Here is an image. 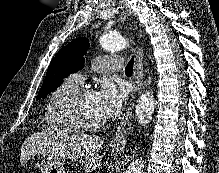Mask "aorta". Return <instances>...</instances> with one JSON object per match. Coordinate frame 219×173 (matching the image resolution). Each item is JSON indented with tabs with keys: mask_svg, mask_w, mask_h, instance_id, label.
Listing matches in <instances>:
<instances>
[{
	"mask_svg": "<svg viewBox=\"0 0 219 173\" xmlns=\"http://www.w3.org/2000/svg\"><path fill=\"white\" fill-rule=\"evenodd\" d=\"M100 45L106 51L116 52L128 47V41L121 35L104 34L100 37ZM155 108V98L151 91L143 93L136 104L135 113L138 123L146 126L150 123ZM144 161L142 159L133 160L127 167L125 173H143Z\"/></svg>",
	"mask_w": 219,
	"mask_h": 173,
	"instance_id": "1",
	"label": "aorta"
}]
</instances>
